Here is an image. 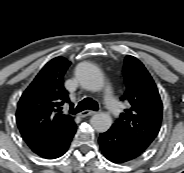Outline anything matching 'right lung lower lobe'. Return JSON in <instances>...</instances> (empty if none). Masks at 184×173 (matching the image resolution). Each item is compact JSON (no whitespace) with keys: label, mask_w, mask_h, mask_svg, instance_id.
Here are the masks:
<instances>
[{"label":"right lung lower lobe","mask_w":184,"mask_h":173,"mask_svg":"<svg viewBox=\"0 0 184 173\" xmlns=\"http://www.w3.org/2000/svg\"><path fill=\"white\" fill-rule=\"evenodd\" d=\"M75 132L76 125L67 130L52 143L41 148L33 149V152L45 159L59 158L68 150Z\"/></svg>","instance_id":"98d812e1"}]
</instances>
